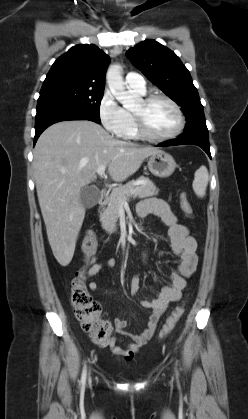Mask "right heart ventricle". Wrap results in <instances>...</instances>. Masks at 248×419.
Instances as JSON below:
<instances>
[{"mask_svg":"<svg viewBox=\"0 0 248 419\" xmlns=\"http://www.w3.org/2000/svg\"><path fill=\"white\" fill-rule=\"evenodd\" d=\"M138 92V91H137ZM139 94L143 95L144 93L138 92ZM128 124L124 133V138L126 139H131V140H138L141 138V136L139 135L137 128H136V124H135V120L133 117V114L131 112H128Z\"/></svg>","mask_w":248,"mask_h":419,"instance_id":"1","label":"right heart ventricle"}]
</instances>
